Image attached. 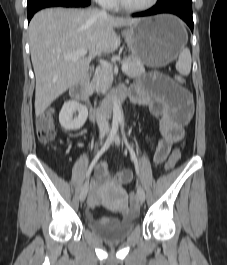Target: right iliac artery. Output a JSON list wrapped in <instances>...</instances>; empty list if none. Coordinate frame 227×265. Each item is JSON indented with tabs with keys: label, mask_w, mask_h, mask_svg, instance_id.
I'll return each instance as SVG.
<instances>
[{
	"label": "right iliac artery",
	"mask_w": 227,
	"mask_h": 265,
	"mask_svg": "<svg viewBox=\"0 0 227 265\" xmlns=\"http://www.w3.org/2000/svg\"><path fill=\"white\" fill-rule=\"evenodd\" d=\"M118 131V123L117 122H113L112 124V129L110 131V134L107 138V140L105 141L104 145L102 146V148L98 151V153L95 155L88 171H87V174H86V179L89 178L90 174H91V171L94 167V165L97 163V161L99 160V158L101 157V155L110 147L112 141L114 140V137L116 135Z\"/></svg>",
	"instance_id": "obj_1"
}]
</instances>
